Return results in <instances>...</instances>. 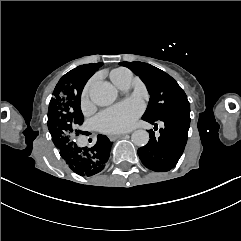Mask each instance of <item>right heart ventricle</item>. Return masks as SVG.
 I'll return each instance as SVG.
<instances>
[{
  "label": "right heart ventricle",
  "instance_id": "obj_1",
  "mask_svg": "<svg viewBox=\"0 0 241 241\" xmlns=\"http://www.w3.org/2000/svg\"><path fill=\"white\" fill-rule=\"evenodd\" d=\"M111 79L119 88H124L131 82V73L123 68L116 69L111 74Z\"/></svg>",
  "mask_w": 241,
  "mask_h": 241
}]
</instances>
